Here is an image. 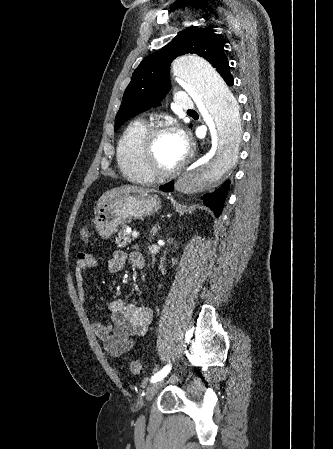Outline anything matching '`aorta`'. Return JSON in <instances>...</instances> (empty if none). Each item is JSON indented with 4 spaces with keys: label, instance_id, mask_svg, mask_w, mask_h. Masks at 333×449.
<instances>
[{
    "label": "aorta",
    "instance_id": "762f6f07",
    "mask_svg": "<svg viewBox=\"0 0 333 449\" xmlns=\"http://www.w3.org/2000/svg\"><path fill=\"white\" fill-rule=\"evenodd\" d=\"M171 69L179 84L203 107V116L212 122L217 139L214 150L191 165L174 187L182 194L208 192L219 187L225 171L236 161L240 143L239 107L216 69L200 56H179Z\"/></svg>",
    "mask_w": 333,
    "mask_h": 449
}]
</instances>
